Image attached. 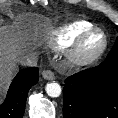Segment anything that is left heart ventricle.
Returning <instances> with one entry per match:
<instances>
[{
	"label": "left heart ventricle",
	"instance_id": "obj_1",
	"mask_svg": "<svg viewBox=\"0 0 118 118\" xmlns=\"http://www.w3.org/2000/svg\"><path fill=\"white\" fill-rule=\"evenodd\" d=\"M103 39L101 35L95 34L87 39L83 51L85 54H91L97 51L102 45Z\"/></svg>",
	"mask_w": 118,
	"mask_h": 118
}]
</instances>
